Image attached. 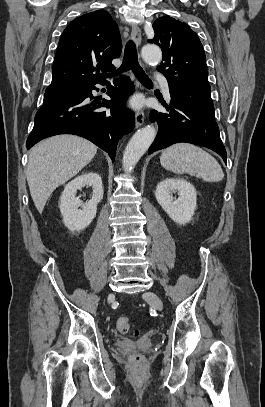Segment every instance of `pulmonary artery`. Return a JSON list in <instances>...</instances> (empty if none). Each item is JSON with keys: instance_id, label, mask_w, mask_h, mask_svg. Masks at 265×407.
Instances as JSON below:
<instances>
[{"instance_id": "pulmonary-artery-1", "label": "pulmonary artery", "mask_w": 265, "mask_h": 407, "mask_svg": "<svg viewBox=\"0 0 265 407\" xmlns=\"http://www.w3.org/2000/svg\"><path fill=\"white\" fill-rule=\"evenodd\" d=\"M156 80L162 85L163 91L166 94V96L169 97V86L166 78L163 75L158 74L156 76Z\"/></svg>"}]
</instances>
